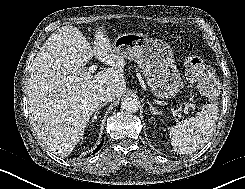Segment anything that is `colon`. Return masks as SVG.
Listing matches in <instances>:
<instances>
[{
	"mask_svg": "<svg viewBox=\"0 0 245 189\" xmlns=\"http://www.w3.org/2000/svg\"><path fill=\"white\" fill-rule=\"evenodd\" d=\"M186 77L197 82L205 94V101L212 100L220 90V83L210 64L198 56H190L185 62Z\"/></svg>",
	"mask_w": 245,
	"mask_h": 189,
	"instance_id": "colon-1",
	"label": "colon"
}]
</instances>
